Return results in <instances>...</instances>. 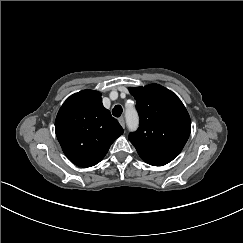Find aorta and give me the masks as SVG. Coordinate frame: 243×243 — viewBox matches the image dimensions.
Here are the masks:
<instances>
[{
    "mask_svg": "<svg viewBox=\"0 0 243 243\" xmlns=\"http://www.w3.org/2000/svg\"><path fill=\"white\" fill-rule=\"evenodd\" d=\"M125 120L129 130L135 131L138 128L139 117L133 106L126 107Z\"/></svg>",
    "mask_w": 243,
    "mask_h": 243,
    "instance_id": "1",
    "label": "aorta"
}]
</instances>
